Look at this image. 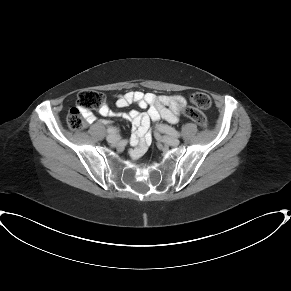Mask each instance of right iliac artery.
Returning a JSON list of instances; mask_svg holds the SVG:
<instances>
[{
  "mask_svg": "<svg viewBox=\"0 0 291 291\" xmlns=\"http://www.w3.org/2000/svg\"><path fill=\"white\" fill-rule=\"evenodd\" d=\"M107 132H108V133H116V132H117V129H114V128H108V129H107Z\"/></svg>",
  "mask_w": 291,
  "mask_h": 291,
  "instance_id": "82829eb1",
  "label": "right iliac artery"
}]
</instances>
